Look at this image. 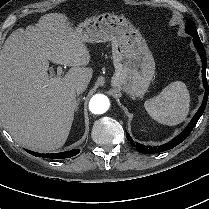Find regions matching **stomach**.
Here are the masks:
<instances>
[{
    "instance_id": "1",
    "label": "stomach",
    "mask_w": 209,
    "mask_h": 209,
    "mask_svg": "<svg viewBox=\"0 0 209 209\" xmlns=\"http://www.w3.org/2000/svg\"><path fill=\"white\" fill-rule=\"evenodd\" d=\"M75 32L84 43L110 41L115 67L112 86L132 97L145 94L155 74V62L145 39L128 19L102 13L81 22Z\"/></svg>"
}]
</instances>
